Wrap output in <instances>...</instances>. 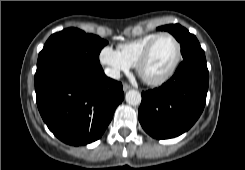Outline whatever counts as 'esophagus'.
<instances>
[{"label":"esophagus","instance_id":"1","mask_svg":"<svg viewBox=\"0 0 245 170\" xmlns=\"http://www.w3.org/2000/svg\"><path fill=\"white\" fill-rule=\"evenodd\" d=\"M130 89V86L128 84H123V91L126 92Z\"/></svg>","mask_w":245,"mask_h":170}]
</instances>
